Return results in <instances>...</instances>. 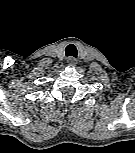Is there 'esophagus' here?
<instances>
[{
    "label": "esophagus",
    "mask_w": 135,
    "mask_h": 153,
    "mask_svg": "<svg viewBox=\"0 0 135 153\" xmlns=\"http://www.w3.org/2000/svg\"><path fill=\"white\" fill-rule=\"evenodd\" d=\"M67 63L69 66H76L77 60L74 57H69Z\"/></svg>",
    "instance_id": "34e87169"
}]
</instances>
